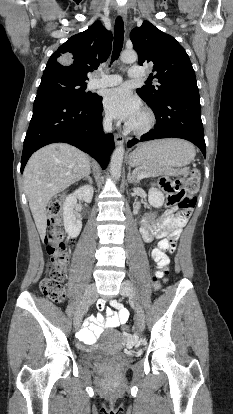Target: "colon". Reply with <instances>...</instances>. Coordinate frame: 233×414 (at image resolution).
<instances>
[{
    "label": "colon",
    "instance_id": "obj_1",
    "mask_svg": "<svg viewBox=\"0 0 233 414\" xmlns=\"http://www.w3.org/2000/svg\"><path fill=\"white\" fill-rule=\"evenodd\" d=\"M200 172L197 169L191 171L190 178L186 181L180 179L162 177L159 185L168 196L169 204H176L175 217L187 219L195 206L196 192L199 187ZM49 221L45 235V244L50 258L47 276L41 281L42 293L55 302H60L65 296V280L67 278L66 264L69 258V244L62 231V204L59 198L52 200L48 206ZM174 249V239H169L167 250ZM160 255L153 252V259ZM160 286L158 278L153 277V288ZM123 332L129 335L128 326L123 327Z\"/></svg>",
    "mask_w": 233,
    "mask_h": 414
}]
</instances>
